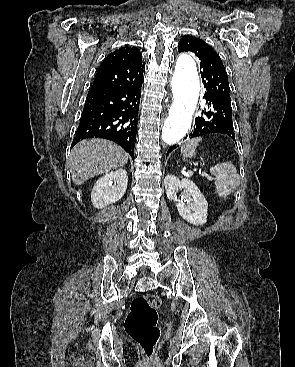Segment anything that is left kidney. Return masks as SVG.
<instances>
[{"label": "left kidney", "instance_id": "obj_1", "mask_svg": "<svg viewBox=\"0 0 295 367\" xmlns=\"http://www.w3.org/2000/svg\"><path fill=\"white\" fill-rule=\"evenodd\" d=\"M166 195L176 203L180 216L193 225H203L207 221L208 202L195 183L189 179H180L167 175L164 179ZM178 188L183 189V198L187 205L177 198Z\"/></svg>", "mask_w": 295, "mask_h": 367}]
</instances>
